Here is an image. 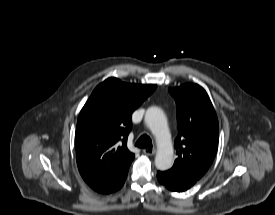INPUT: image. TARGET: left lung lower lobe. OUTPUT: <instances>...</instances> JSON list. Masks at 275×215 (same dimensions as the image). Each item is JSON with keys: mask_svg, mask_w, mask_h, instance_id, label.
Returning <instances> with one entry per match:
<instances>
[{"mask_svg": "<svg viewBox=\"0 0 275 215\" xmlns=\"http://www.w3.org/2000/svg\"><path fill=\"white\" fill-rule=\"evenodd\" d=\"M157 179L160 184L174 192L186 191L195 184V182L188 179H184L170 172L169 170L164 172L158 171Z\"/></svg>", "mask_w": 275, "mask_h": 215, "instance_id": "obj_1", "label": "left lung lower lobe"}]
</instances>
